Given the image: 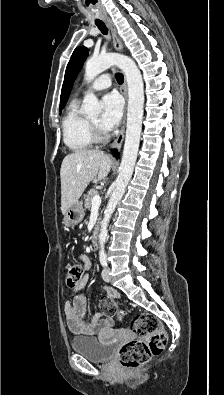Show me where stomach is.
<instances>
[{"label": "stomach", "instance_id": "1", "mask_svg": "<svg viewBox=\"0 0 224 395\" xmlns=\"http://www.w3.org/2000/svg\"><path fill=\"white\" fill-rule=\"evenodd\" d=\"M85 215L83 203L78 201L72 205L64 214L63 224L66 228H74L78 225Z\"/></svg>", "mask_w": 224, "mask_h": 395}]
</instances>
